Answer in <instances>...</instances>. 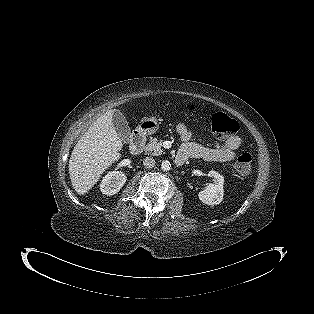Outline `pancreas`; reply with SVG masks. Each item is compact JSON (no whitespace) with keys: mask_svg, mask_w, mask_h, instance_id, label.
Wrapping results in <instances>:
<instances>
[{"mask_svg":"<svg viewBox=\"0 0 314 314\" xmlns=\"http://www.w3.org/2000/svg\"><path fill=\"white\" fill-rule=\"evenodd\" d=\"M144 151L148 155L159 156L163 153L162 151V140L153 138L149 143L144 147Z\"/></svg>","mask_w":314,"mask_h":314,"instance_id":"obj_1","label":"pancreas"}]
</instances>
